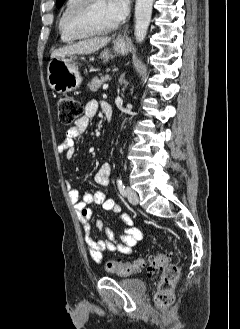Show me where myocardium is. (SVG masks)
Segmentation results:
<instances>
[{"mask_svg":"<svg viewBox=\"0 0 240 329\" xmlns=\"http://www.w3.org/2000/svg\"><path fill=\"white\" fill-rule=\"evenodd\" d=\"M95 0H76V2L67 10L64 17V30L66 33L75 38L82 39L96 35H102L114 31L118 27V23L103 28L96 27H79L77 21L85 19Z\"/></svg>","mask_w":240,"mask_h":329,"instance_id":"1","label":"myocardium"}]
</instances>
